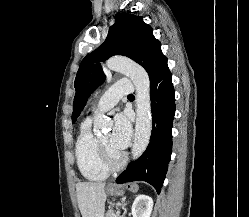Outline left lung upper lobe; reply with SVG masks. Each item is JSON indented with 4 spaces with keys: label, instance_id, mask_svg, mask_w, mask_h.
Returning <instances> with one entry per match:
<instances>
[{
    "label": "left lung upper lobe",
    "instance_id": "5c2ea615",
    "mask_svg": "<svg viewBox=\"0 0 249 217\" xmlns=\"http://www.w3.org/2000/svg\"><path fill=\"white\" fill-rule=\"evenodd\" d=\"M113 55L131 58L148 72L149 77L166 58L161 51L160 42L153 36V29L141 16L129 13L117 14L104 43L88 54L80 64L75 78L73 123L83 110L90 94L105 79L99 62Z\"/></svg>",
    "mask_w": 249,
    "mask_h": 217
}]
</instances>
